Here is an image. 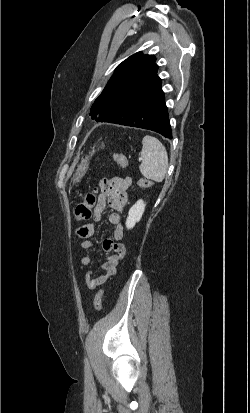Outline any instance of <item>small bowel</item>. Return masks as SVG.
Masks as SVG:
<instances>
[{
	"mask_svg": "<svg viewBox=\"0 0 250 413\" xmlns=\"http://www.w3.org/2000/svg\"><path fill=\"white\" fill-rule=\"evenodd\" d=\"M132 185L130 177H112L104 178L100 182L101 195L98 198L97 204L92 213L94 223L85 224L77 229V236L81 239L80 246L83 249L93 247L91 237L96 231V222L103 218L104 211L107 205L113 210L109 215L108 220L114 226V231L111 238L104 240L102 247L108 253L104 262L101 264V269L105 271L100 276H93V271L88 270L86 274V284L90 290H94L104 284L108 278L115 275L119 269V264L123 259L126 249L121 239L124 231L121 222V213L128 201L127 191ZM93 258L90 255H85L81 258L83 266H90Z\"/></svg>",
	"mask_w": 250,
	"mask_h": 413,
	"instance_id": "c3829d8e",
	"label": "small bowel"
}]
</instances>
